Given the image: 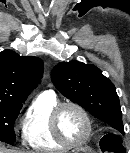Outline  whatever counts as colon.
<instances>
[{
    "mask_svg": "<svg viewBox=\"0 0 130 153\" xmlns=\"http://www.w3.org/2000/svg\"><path fill=\"white\" fill-rule=\"evenodd\" d=\"M101 151L103 153H124V147L119 137L107 134L102 138Z\"/></svg>",
    "mask_w": 130,
    "mask_h": 153,
    "instance_id": "colon-1",
    "label": "colon"
}]
</instances>
